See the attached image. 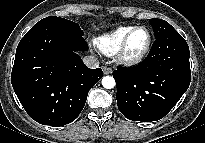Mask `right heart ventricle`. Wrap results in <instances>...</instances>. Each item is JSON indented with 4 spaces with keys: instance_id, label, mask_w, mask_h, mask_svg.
Returning a JSON list of instances; mask_svg holds the SVG:
<instances>
[{
    "instance_id": "obj_1",
    "label": "right heart ventricle",
    "mask_w": 205,
    "mask_h": 143,
    "mask_svg": "<svg viewBox=\"0 0 205 143\" xmlns=\"http://www.w3.org/2000/svg\"><path fill=\"white\" fill-rule=\"evenodd\" d=\"M134 26H120L115 30L105 33L95 40V44L100 52L105 55H115L123 38Z\"/></svg>"
}]
</instances>
